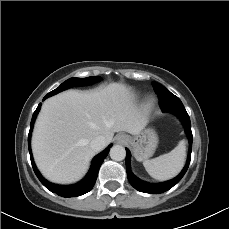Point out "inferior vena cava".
I'll use <instances>...</instances> for the list:
<instances>
[{"label": "inferior vena cava", "instance_id": "602c4592", "mask_svg": "<svg viewBox=\"0 0 229 229\" xmlns=\"http://www.w3.org/2000/svg\"><path fill=\"white\" fill-rule=\"evenodd\" d=\"M105 145L106 140L104 136H97L90 142V146L95 152L102 150Z\"/></svg>", "mask_w": 229, "mask_h": 229}]
</instances>
